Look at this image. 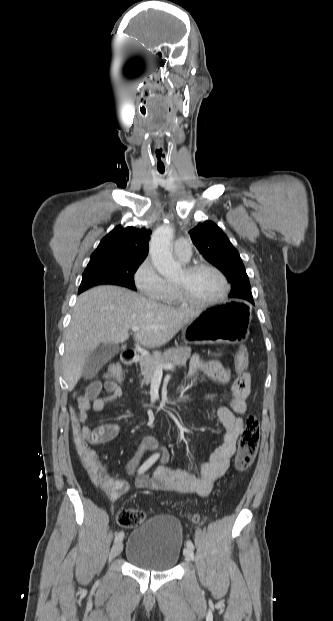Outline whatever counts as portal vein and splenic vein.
<instances>
[{"label": "portal vein and splenic vein", "mask_w": 333, "mask_h": 621, "mask_svg": "<svg viewBox=\"0 0 333 621\" xmlns=\"http://www.w3.org/2000/svg\"><path fill=\"white\" fill-rule=\"evenodd\" d=\"M139 330H140V327H138V326H133V327H132V331H134V332H137V331H139ZM163 369H165V370H174V365H172V364H165V365H162V364H161V365H159V366H158V368L155 370V372H156L157 374H158V373H162V370H163Z\"/></svg>", "instance_id": "obj_1"}]
</instances>
